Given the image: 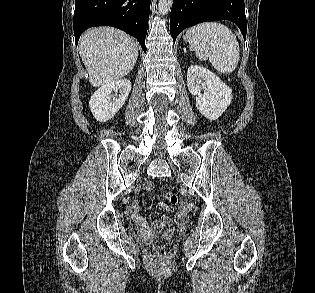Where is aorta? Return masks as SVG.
<instances>
[{"label": "aorta", "mask_w": 315, "mask_h": 293, "mask_svg": "<svg viewBox=\"0 0 315 293\" xmlns=\"http://www.w3.org/2000/svg\"><path fill=\"white\" fill-rule=\"evenodd\" d=\"M173 0H159L158 11L161 15H166L172 6Z\"/></svg>", "instance_id": "1"}]
</instances>
